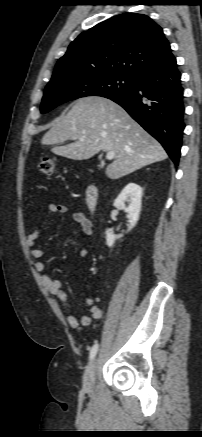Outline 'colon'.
Listing matches in <instances>:
<instances>
[{
	"label": "colon",
	"instance_id": "colon-1",
	"mask_svg": "<svg viewBox=\"0 0 202 437\" xmlns=\"http://www.w3.org/2000/svg\"><path fill=\"white\" fill-rule=\"evenodd\" d=\"M56 161L53 157H44L38 163L37 169L39 173L51 176L55 172Z\"/></svg>",
	"mask_w": 202,
	"mask_h": 437
}]
</instances>
